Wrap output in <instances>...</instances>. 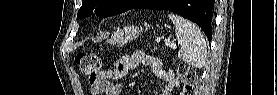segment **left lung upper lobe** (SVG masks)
I'll return each instance as SVG.
<instances>
[{
    "mask_svg": "<svg viewBox=\"0 0 277 95\" xmlns=\"http://www.w3.org/2000/svg\"><path fill=\"white\" fill-rule=\"evenodd\" d=\"M143 0H82L77 18L90 16L93 11L102 17L115 16L135 8ZM174 0H160L161 7L170 6Z\"/></svg>",
    "mask_w": 277,
    "mask_h": 95,
    "instance_id": "5c2ea615",
    "label": "left lung upper lobe"
}]
</instances>
